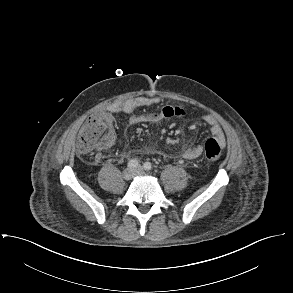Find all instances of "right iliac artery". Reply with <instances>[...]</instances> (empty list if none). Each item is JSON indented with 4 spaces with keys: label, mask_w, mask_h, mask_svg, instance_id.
<instances>
[{
    "label": "right iliac artery",
    "mask_w": 293,
    "mask_h": 293,
    "mask_svg": "<svg viewBox=\"0 0 293 293\" xmlns=\"http://www.w3.org/2000/svg\"><path fill=\"white\" fill-rule=\"evenodd\" d=\"M127 166H128L130 169H132V168H136V167L139 166V161H138L137 159H131V160L128 162Z\"/></svg>",
    "instance_id": "1"
}]
</instances>
